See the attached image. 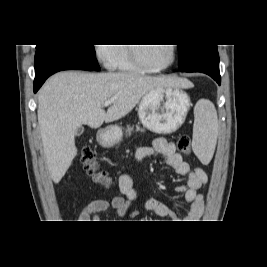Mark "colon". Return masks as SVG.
I'll use <instances>...</instances> for the list:
<instances>
[{
  "label": "colon",
  "mask_w": 267,
  "mask_h": 267,
  "mask_svg": "<svg viewBox=\"0 0 267 267\" xmlns=\"http://www.w3.org/2000/svg\"><path fill=\"white\" fill-rule=\"evenodd\" d=\"M177 148L182 154H189L191 151V142L188 135H181L177 141ZM81 162L86 172L96 181L102 184L108 183V178L105 173L98 168V162L94 151L85 147L81 153Z\"/></svg>",
  "instance_id": "5ec220e1"
}]
</instances>
